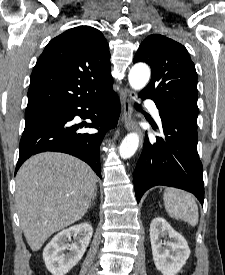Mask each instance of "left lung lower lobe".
I'll return each instance as SVG.
<instances>
[{"label":"left lung lower lobe","mask_w":225,"mask_h":275,"mask_svg":"<svg viewBox=\"0 0 225 275\" xmlns=\"http://www.w3.org/2000/svg\"><path fill=\"white\" fill-rule=\"evenodd\" d=\"M142 99L146 97L139 95ZM164 138L144 147L134 173L137 202L149 188L164 185L193 193L204 201L203 169L197 152V121L167 110H159Z\"/></svg>","instance_id":"1"}]
</instances>
